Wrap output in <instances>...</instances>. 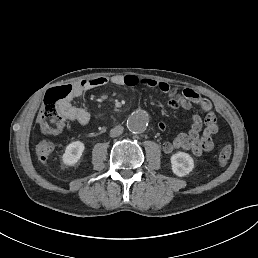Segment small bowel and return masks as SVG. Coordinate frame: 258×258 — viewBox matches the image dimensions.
Returning a JSON list of instances; mask_svg holds the SVG:
<instances>
[{"label":"small bowel","mask_w":258,"mask_h":258,"mask_svg":"<svg viewBox=\"0 0 258 258\" xmlns=\"http://www.w3.org/2000/svg\"><path fill=\"white\" fill-rule=\"evenodd\" d=\"M112 83L118 86L136 87L144 85L150 88H156L161 92L168 93L171 87L168 83L155 79H141L136 75H114L110 78L100 76L82 80L74 84V92L72 97L62 106V112L66 119L76 121L81 125H87L90 122V114L83 108L72 104L71 100L80 97L86 91L100 88ZM180 106L186 110L192 108L193 105L198 106L205 112L204 120L198 114L190 117L191 126L188 133L178 134L173 141H164L162 149L166 154L172 153L174 150L183 149L191 151L193 155L200 156L204 152H209L214 148L213 136L218 132L217 119L211 110V103L203 98L197 91L193 89H184L178 94ZM161 129L165 128L164 123H159ZM54 146L50 141L42 140L36 147V155L40 162L46 163L51 157Z\"/></svg>","instance_id":"1"}]
</instances>
